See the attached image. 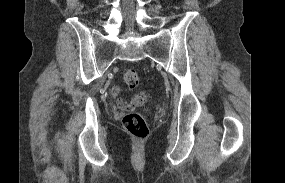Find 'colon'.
<instances>
[{
	"instance_id": "1",
	"label": "colon",
	"mask_w": 285,
	"mask_h": 183,
	"mask_svg": "<svg viewBox=\"0 0 285 183\" xmlns=\"http://www.w3.org/2000/svg\"><path fill=\"white\" fill-rule=\"evenodd\" d=\"M123 79L129 88H136L139 84V76L136 70L126 69ZM145 94L143 92L136 93L128 104V108L136 107L143 103ZM122 123L124 128L132 136L143 139L147 137L149 129L142 114L136 111H128L124 114Z\"/></svg>"
}]
</instances>
